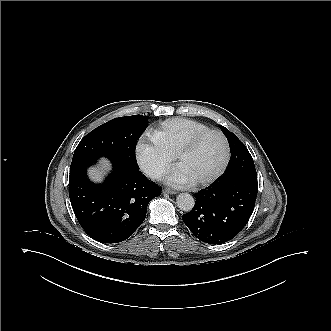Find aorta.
Segmentation results:
<instances>
[{
    "label": "aorta",
    "mask_w": 331,
    "mask_h": 331,
    "mask_svg": "<svg viewBox=\"0 0 331 331\" xmlns=\"http://www.w3.org/2000/svg\"><path fill=\"white\" fill-rule=\"evenodd\" d=\"M177 206L184 212H190L195 206L194 198L188 193H180L176 198Z\"/></svg>",
    "instance_id": "obj_1"
}]
</instances>
